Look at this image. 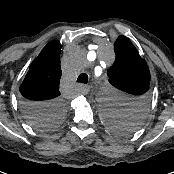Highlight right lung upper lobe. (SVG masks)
Masks as SVG:
<instances>
[{"label":"right lung upper lobe","mask_w":174,"mask_h":174,"mask_svg":"<svg viewBox=\"0 0 174 174\" xmlns=\"http://www.w3.org/2000/svg\"><path fill=\"white\" fill-rule=\"evenodd\" d=\"M61 44L57 40L49 42L34 59L21 86L23 101L53 104L60 101L59 82Z\"/></svg>","instance_id":"1"}]
</instances>
